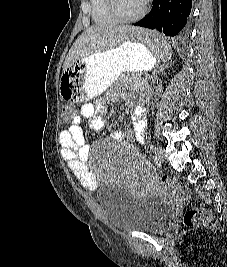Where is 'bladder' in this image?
Segmentation results:
<instances>
[{
    "label": "bladder",
    "instance_id": "bladder-1",
    "mask_svg": "<svg viewBox=\"0 0 227 267\" xmlns=\"http://www.w3.org/2000/svg\"><path fill=\"white\" fill-rule=\"evenodd\" d=\"M101 209L115 228L130 231L159 233L170 219V210L154 195H133L110 184L99 195Z\"/></svg>",
    "mask_w": 227,
    "mask_h": 267
}]
</instances>
